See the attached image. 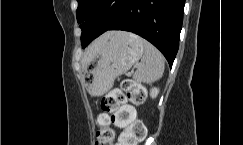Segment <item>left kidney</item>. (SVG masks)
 Returning <instances> with one entry per match:
<instances>
[{
  "instance_id": "left-kidney-1",
  "label": "left kidney",
  "mask_w": 243,
  "mask_h": 145,
  "mask_svg": "<svg viewBox=\"0 0 243 145\" xmlns=\"http://www.w3.org/2000/svg\"><path fill=\"white\" fill-rule=\"evenodd\" d=\"M158 93H159V89H158V88H152V89L150 90V96H151L152 98H156L157 95H158Z\"/></svg>"
}]
</instances>
